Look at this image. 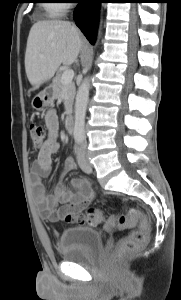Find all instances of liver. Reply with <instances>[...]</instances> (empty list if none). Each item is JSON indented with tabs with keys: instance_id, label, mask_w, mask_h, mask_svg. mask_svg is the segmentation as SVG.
<instances>
[{
	"instance_id": "liver-1",
	"label": "liver",
	"mask_w": 181,
	"mask_h": 300,
	"mask_svg": "<svg viewBox=\"0 0 181 300\" xmlns=\"http://www.w3.org/2000/svg\"><path fill=\"white\" fill-rule=\"evenodd\" d=\"M82 44L79 30L70 22H36L29 32L25 53V71L30 84L37 88L51 79L61 64H73Z\"/></svg>"
}]
</instances>
